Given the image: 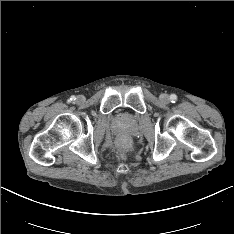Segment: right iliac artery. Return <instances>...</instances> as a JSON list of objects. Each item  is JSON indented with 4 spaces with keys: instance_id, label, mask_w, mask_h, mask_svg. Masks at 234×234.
<instances>
[{
    "instance_id": "82829eb1",
    "label": "right iliac artery",
    "mask_w": 234,
    "mask_h": 234,
    "mask_svg": "<svg viewBox=\"0 0 234 234\" xmlns=\"http://www.w3.org/2000/svg\"><path fill=\"white\" fill-rule=\"evenodd\" d=\"M76 98L74 96H71L70 99L68 100L69 102L74 101Z\"/></svg>"
}]
</instances>
